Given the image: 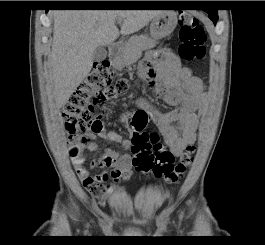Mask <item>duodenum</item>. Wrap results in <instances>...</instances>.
<instances>
[{
  "instance_id": "410a0bca",
  "label": "duodenum",
  "mask_w": 265,
  "mask_h": 245,
  "mask_svg": "<svg viewBox=\"0 0 265 245\" xmlns=\"http://www.w3.org/2000/svg\"><path fill=\"white\" fill-rule=\"evenodd\" d=\"M120 50H121V43L119 41L112 43L108 50L109 57L113 60L119 58Z\"/></svg>"
}]
</instances>
